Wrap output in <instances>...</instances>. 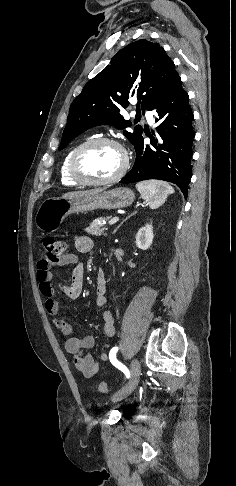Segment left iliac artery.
Segmentation results:
<instances>
[{"instance_id": "obj_1", "label": "left iliac artery", "mask_w": 236, "mask_h": 486, "mask_svg": "<svg viewBox=\"0 0 236 486\" xmlns=\"http://www.w3.org/2000/svg\"><path fill=\"white\" fill-rule=\"evenodd\" d=\"M118 351V347L115 346L111 349L110 353H109V359L111 361V363L117 367L118 369H120L122 372H124V374L126 375L127 378H129L130 376V373H129V370L127 369V367L125 365H123L121 362H119L116 358V353Z\"/></svg>"}]
</instances>
